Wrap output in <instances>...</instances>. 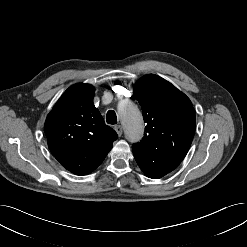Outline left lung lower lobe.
Segmentation results:
<instances>
[{
  "instance_id": "1",
  "label": "left lung lower lobe",
  "mask_w": 247,
  "mask_h": 247,
  "mask_svg": "<svg viewBox=\"0 0 247 247\" xmlns=\"http://www.w3.org/2000/svg\"><path fill=\"white\" fill-rule=\"evenodd\" d=\"M176 167H173L171 165H160L155 168H150V169H142V171L145 173L147 177L158 179L166 175L167 173L171 172L174 170Z\"/></svg>"
}]
</instances>
